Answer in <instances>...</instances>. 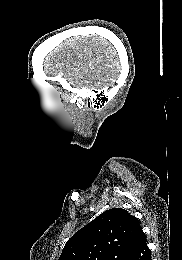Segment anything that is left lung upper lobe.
Segmentation results:
<instances>
[{
  "mask_svg": "<svg viewBox=\"0 0 182 260\" xmlns=\"http://www.w3.org/2000/svg\"><path fill=\"white\" fill-rule=\"evenodd\" d=\"M140 230L125 209H109L67 241L59 260H121Z\"/></svg>",
  "mask_w": 182,
  "mask_h": 260,
  "instance_id": "obj_1",
  "label": "left lung upper lobe"
}]
</instances>
